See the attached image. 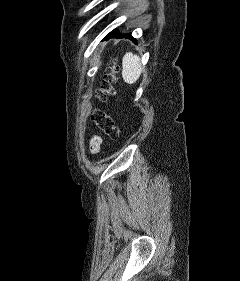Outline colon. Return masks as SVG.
Here are the masks:
<instances>
[{"instance_id": "obj_1", "label": "colon", "mask_w": 240, "mask_h": 281, "mask_svg": "<svg viewBox=\"0 0 240 281\" xmlns=\"http://www.w3.org/2000/svg\"><path fill=\"white\" fill-rule=\"evenodd\" d=\"M116 66L110 64L105 72L102 86L98 92V97L101 100L107 99L113 93V83L115 77ZM91 120L102 130L106 135L112 139H116L120 135V129L115 124L114 120L100 109H94L90 115Z\"/></svg>"}]
</instances>
